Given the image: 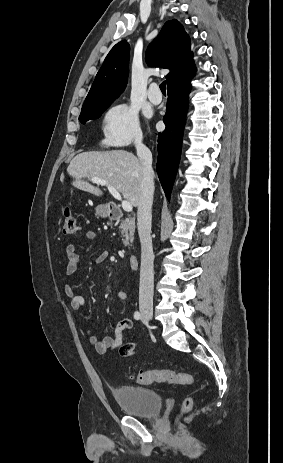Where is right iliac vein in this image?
<instances>
[{"mask_svg": "<svg viewBox=\"0 0 283 463\" xmlns=\"http://www.w3.org/2000/svg\"><path fill=\"white\" fill-rule=\"evenodd\" d=\"M142 315H143V317H144L147 321H151V320H152V312L147 311V310H143V311H142Z\"/></svg>", "mask_w": 283, "mask_h": 463, "instance_id": "1", "label": "right iliac vein"}]
</instances>
